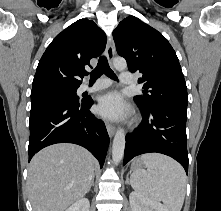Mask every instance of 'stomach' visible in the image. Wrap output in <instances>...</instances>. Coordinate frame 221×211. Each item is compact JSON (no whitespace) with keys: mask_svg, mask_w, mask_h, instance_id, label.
I'll use <instances>...</instances> for the list:
<instances>
[{"mask_svg":"<svg viewBox=\"0 0 221 211\" xmlns=\"http://www.w3.org/2000/svg\"><path fill=\"white\" fill-rule=\"evenodd\" d=\"M145 165L141 161L140 158L134 159L131 163V171H139V170H144Z\"/></svg>","mask_w":221,"mask_h":211,"instance_id":"stomach-1","label":"stomach"}]
</instances>
